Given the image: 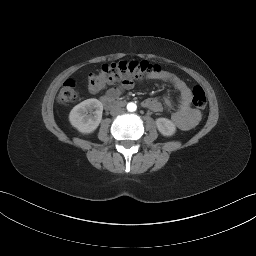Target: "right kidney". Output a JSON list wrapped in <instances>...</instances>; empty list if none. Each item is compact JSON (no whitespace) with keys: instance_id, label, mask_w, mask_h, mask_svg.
Returning <instances> with one entry per match:
<instances>
[{"instance_id":"ca27d5eb","label":"right kidney","mask_w":256,"mask_h":256,"mask_svg":"<svg viewBox=\"0 0 256 256\" xmlns=\"http://www.w3.org/2000/svg\"><path fill=\"white\" fill-rule=\"evenodd\" d=\"M103 105L94 98L84 100L71 110L69 121L83 134L94 132L102 120Z\"/></svg>"}]
</instances>
